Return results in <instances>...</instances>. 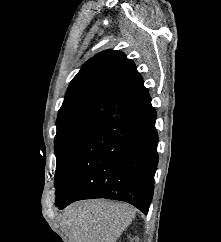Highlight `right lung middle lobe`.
<instances>
[{"label":"right lung middle lobe","instance_id":"right-lung-middle-lobe-1","mask_svg":"<svg viewBox=\"0 0 221 242\" xmlns=\"http://www.w3.org/2000/svg\"><path fill=\"white\" fill-rule=\"evenodd\" d=\"M100 124V122L85 121L57 128L54 140L57 159L55 185L75 151Z\"/></svg>","mask_w":221,"mask_h":242}]
</instances>
